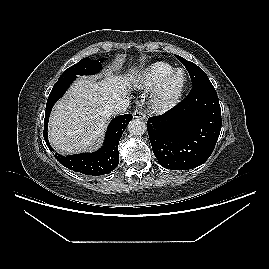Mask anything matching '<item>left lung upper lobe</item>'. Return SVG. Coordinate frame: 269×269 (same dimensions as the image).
<instances>
[{
  "label": "left lung upper lobe",
  "mask_w": 269,
  "mask_h": 269,
  "mask_svg": "<svg viewBox=\"0 0 269 269\" xmlns=\"http://www.w3.org/2000/svg\"><path fill=\"white\" fill-rule=\"evenodd\" d=\"M178 60L182 62V64L185 66V68L188 70L192 85L198 84L204 80H209L206 73L198 67L196 64L187 61L183 57L179 55H175Z\"/></svg>",
  "instance_id": "1"
}]
</instances>
